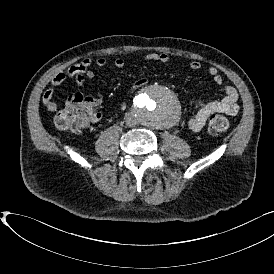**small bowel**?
Instances as JSON below:
<instances>
[{
  "label": "small bowel",
  "mask_w": 274,
  "mask_h": 274,
  "mask_svg": "<svg viewBox=\"0 0 274 274\" xmlns=\"http://www.w3.org/2000/svg\"><path fill=\"white\" fill-rule=\"evenodd\" d=\"M147 62L168 63L170 56L166 53H150L145 56ZM107 65V60L104 57H98L94 61L91 59H84L79 63L68 68L66 72L59 73L51 81V87L43 91V102L50 111L55 112L58 109L53 93L55 88L61 86L67 79H74L78 86L82 87L86 79H93L95 72L93 66L103 68ZM114 66L121 69L125 66L123 58H116ZM192 70H199L202 68L201 62L193 60L189 63ZM207 72L216 85H222L224 82L223 76L215 66H209ZM147 78H140L136 80L129 88V95L136 90L147 85ZM51 92V93H50ZM222 98L220 100L198 102L193 105L196 110L195 114L188 120V127L192 132H199L206 124L207 120L213 114L235 115L239 111L238 93L232 86H223L221 88ZM72 101L80 102L89 109L86 122L81 126L85 127L88 124H97L102 120V114L95 109L103 103V95L98 93L93 97H82L75 94L71 98ZM126 103L123 102L121 108L124 109Z\"/></svg>",
  "instance_id": "1"
}]
</instances>
